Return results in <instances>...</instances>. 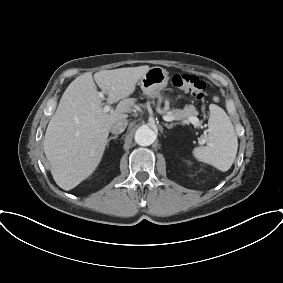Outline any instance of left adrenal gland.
<instances>
[{
  "mask_svg": "<svg viewBox=\"0 0 283 283\" xmlns=\"http://www.w3.org/2000/svg\"><path fill=\"white\" fill-rule=\"evenodd\" d=\"M178 123H171V124H165V127H167L168 129L173 128L174 126H176Z\"/></svg>",
  "mask_w": 283,
  "mask_h": 283,
  "instance_id": "obj_1",
  "label": "left adrenal gland"
}]
</instances>
